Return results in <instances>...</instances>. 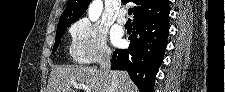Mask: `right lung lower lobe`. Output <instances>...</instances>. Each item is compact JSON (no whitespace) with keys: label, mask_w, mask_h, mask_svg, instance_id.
Returning a JSON list of instances; mask_svg holds the SVG:
<instances>
[{"label":"right lung lower lobe","mask_w":225,"mask_h":92,"mask_svg":"<svg viewBox=\"0 0 225 92\" xmlns=\"http://www.w3.org/2000/svg\"><path fill=\"white\" fill-rule=\"evenodd\" d=\"M169 12L134 20L129 48L113 53L111 69L126 70L141 92H153L167 45Z\"/></svg>","instance_id":"98d812e1"}]
</instances>
